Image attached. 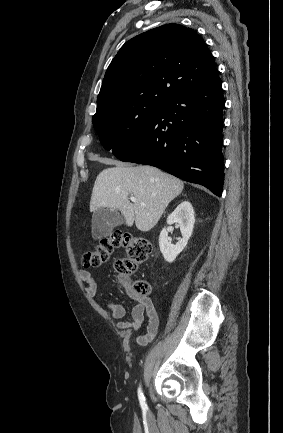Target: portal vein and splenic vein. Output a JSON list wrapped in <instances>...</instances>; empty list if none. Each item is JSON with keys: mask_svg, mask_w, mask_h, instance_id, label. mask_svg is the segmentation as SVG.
<instances>
[{"mask_svg": "<svg viewBox=\"0 0 283 433\" xmlns=\"http://www.w3.org/2000/svg\"><path fill=\"white\" fill-rule=\"evenodd\" d=\"M130 200H132V202H136V198H134V196H130ZM141 204H144V202H141Z\"/></svg>", "mask_w": 283, "mask_h": 433, "instance_id": "obj_1", "label": "portal vein and splenic vein"}]
</instances>
